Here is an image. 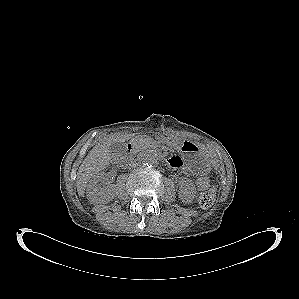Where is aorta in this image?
Instances as JSON below:
<instances>
[{
    "mask_svg": "<svg viewBox=\"0 0 299 299\" xmlns=\"http://www.w3.org/2000/svg\"><path fill=\"white\" fill-rule=\"evenodd\" d=\"M160 157L156 150L149 149L145 151L142 155V162L146 165H157L159 163Z\"/></svg>",
    "mask_w": 299,
    "mask_h": 299,
    "instance_id": "1",
    "label": "aorta"
}]
</instances>
